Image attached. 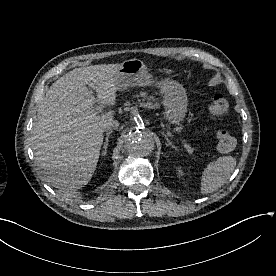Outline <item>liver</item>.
<instances>
[{
    "mask_svg": "<svg viewBox=\"0 0 276 276\" xmlns=\"http://www.w3.org/2000/svg\"><path fill=\"white\" fill-rule=\"evenodd\" d=\"M121 64L75 68L54 82L40 102L33 127V149L47 182L67 196L91 180L103 142V125L114 111L99 116L95 102L116 104ZM87 85L97 92L92 95Z\"/></svg>",
    "mask_w": 276,
    "mask_h": 276,
    "instance_id": "liver-1",
    "label": "liver"
}]
</instances>
